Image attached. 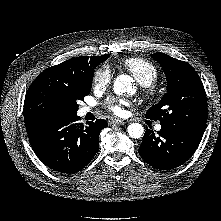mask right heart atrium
I'll return each instance as SVG.
<instances>
[{
    "mask_svg": "<svg viewBox=\"0 0 221 221\" xmlns=\"http://www.w3.org/2000/svg\"><path fill=\"white\" fill-rule=\"evenodd\" d=\"M112 81V72L107 65L98 67L93 75V87L95 90H103L107 88Z\"/></svg>",
    "mask_w": 221,
    "mask_h": 221,
    "instance_id": "obj_1",
    "label": "right heart atrium"
}]
</instances>
